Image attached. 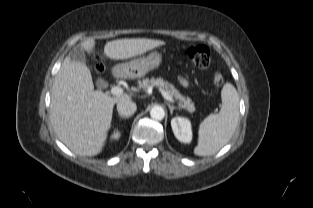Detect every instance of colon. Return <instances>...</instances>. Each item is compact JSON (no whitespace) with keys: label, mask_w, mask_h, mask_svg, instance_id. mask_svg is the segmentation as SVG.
<instances>
[{"label":"colon","mask_w":313,"mask_h":208,"mask_svg":"<svg viewBox=\"0 0 313 208\" xmlns=\"http://www.w3.org/2000/svg\"><path fill=\"white\" fill-rule=\"evenodd\" d=\"M185 56L197 67L207 69L211 63V53L205 45H189L184 49ZM93 69L97 74H101L103 66L100 63H94ZM213 82L217 86L224 83V76L220 70H216L213 74Z\"/></svg>","instance_id":"colon-1"}]
</instances>
